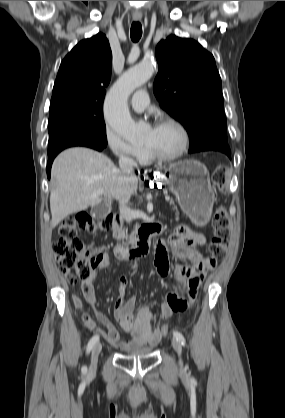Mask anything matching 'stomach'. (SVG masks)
<instances>
[{"label":"stomach","instance_id":"0dacf381","mask_svg":"<svg viewBox=\"0 0 285 418\" xmlns=\"http://www.w3.org/2000/svg\"><path fill=\"white\" fill-rule=\"evenodd\" d=\"M176 196L182 211L199 226L207 224L215 200L209 172L197 160H182L157 175Z\"/></svg>","mask_w":285,"mask_h":418}]
</instances>
